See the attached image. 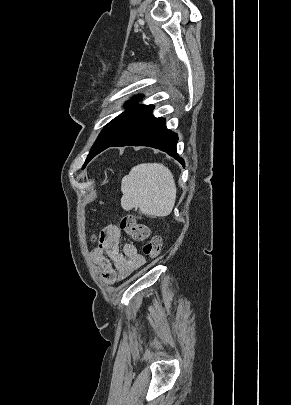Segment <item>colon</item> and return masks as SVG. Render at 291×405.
Instances as JSON below:
<instances>
[{
	"label": "colon",
	"mask_w": 291,
	"mask_h": 405,
	"mask_svg": "<svg viewBox=\"0 0 291 405\" xmlns=\"http://www.w3.org/2000/svg\"><path fill=\"white\" fill-rule=\"evenodd\" d=\"M120 228L136 241H143V252L150 259H156L162 249V240L159 236L153 235L152 230L142 223H139L132 216H125L120 220Z\"/></svg>",
	"instance_id": "colon-1"
}]
</instances>
